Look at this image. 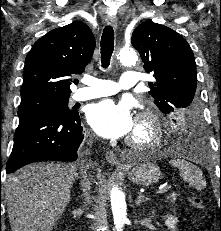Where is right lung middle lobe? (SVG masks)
<instances>
[{
	"instance_id": "dd1d6c3e",
	"label": "right lung middle lobe",
	"mask_w": 221,
	"mask_h": 231,
	"mask_svg": "<svg viewBox=\"0 0 221 231\" xmlns=\"http://www.w3.org/2000/svg\"><path fill=\"white\" fill-rule=\"evenodd\" d=\"M68 99L69 97H49V96L31 97V98L22 99L20 107L18 109V116L20 117L26 113L36 110H42V109L60 111L66 114L75 113L74 110H70L68 108Z\"/></svg>"
}]
</instances>
